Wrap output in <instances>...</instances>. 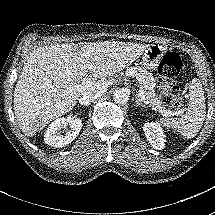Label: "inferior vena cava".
Returning a JSON list of instances; mask_svg holds the SVG:
<instances>
[{
    "mask_svg": "<svg viewBox=\"0 0 215 215\" xmlns=\"http://www.w3.org/2000/svg\"><path fill=\"white\" fill-rule=\"evenodd\" d=\"M105 92H106L105 89L98 90L95 93L86 92L82 95V97H80L79 103L85 106L90 105L91 102H93L98 97L102 96Z\"/></svg>",
    "mask_w": 215,
    "mask_h": 215,
    "instance_id": "602c4592",
    "label": "inferior vena cava"
}]
</instances>
